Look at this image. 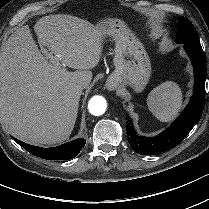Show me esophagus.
<instances>
[{
    "label": "esophagus",
    "mask_w": 209,
    "mask_h": 209,
    "mask_svg": "<svg viewBox=\"0 0 209 209\" xmlns=\"http://www.w3.org/2000/svg\"><path fill=\"white\" fill-rule=\"evenodd\" d=\"M106 85H107V88H108L109 90H112V89H113L109 82H107Z\"/></svg>",
    "instance_id": "esophagus-1"
}]
</instances>
